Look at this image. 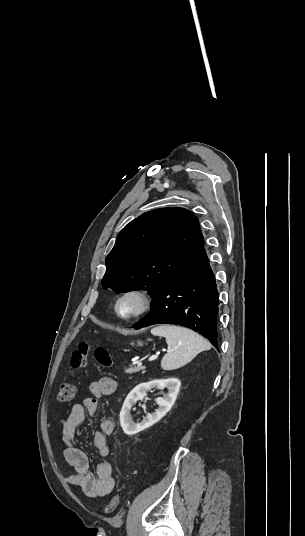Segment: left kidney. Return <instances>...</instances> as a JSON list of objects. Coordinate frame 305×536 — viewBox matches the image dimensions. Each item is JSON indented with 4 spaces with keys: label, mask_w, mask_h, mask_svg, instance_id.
Here are the masks:
<instances>
[{
    "label": "left kidney",
    "mask_w": 305,
    "mask_h": 536,
    "mask_svg": "<svg viewBox=\"0 0 305 536\" xmlns=\"http://www.w3.org/2000/svg\"><path fill=\"white\" fill-rule=\"evenodd\" d=\"M181 386L180 380L177 378H167V380H152V382H144V384H138L130 394H128L120 412V424L123 432L127 436H134L146 428H150L156 422H159L163 416H166L167 412L171 410L179 388ZM151 388H167L168 394H164V398H157L156 402L159 406L158 410H155L154 414H147L145 420H142L140 424H134L131 422L130 416L131 408L133 404H136L137 400H143L146 396V392H149Z\"/></svg>",
    "instance_id": "1"
}]
</instances>
